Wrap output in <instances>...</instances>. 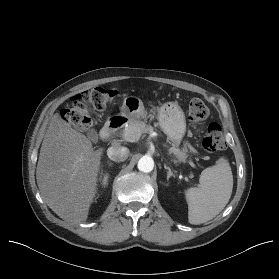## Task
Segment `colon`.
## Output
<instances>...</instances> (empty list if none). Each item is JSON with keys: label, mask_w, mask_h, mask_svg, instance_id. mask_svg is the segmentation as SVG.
Listing matches in <instances>:
<instances>
[{"label": "colon", "mask_w": 279, "mask_h": 279, "mask_svg": "<svg viewBox=\"0 0 279 279\" xmlns=\"http://www.w3.org/2000/svg\"><path fill=\"white\" fill-rule=\"evenodd\" d=\"M118 92L114 88L95 87L77 94L71 103L62 109L61 118L79 129L86 131L92 124L89 107L97 111L106 109ZM209 110L200 99H192L188 106L189 120L198 126L208 116ZM202 145L205 150L214 152L225 148L224 132L219 123L212 122L206 129Z\"/></svg>", "instance_id": "obj_1"}]
</instances>
